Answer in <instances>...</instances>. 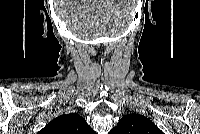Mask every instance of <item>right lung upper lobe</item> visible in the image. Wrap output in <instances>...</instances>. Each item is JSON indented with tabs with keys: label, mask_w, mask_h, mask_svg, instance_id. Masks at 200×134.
Segmentation results:
<instances>
[{
	"label": "right lung upper lobe",
	"mask_w": 200,
	"mask_h": 134,
	"mask_svg": "<svg viewBox=\"0 0 200 134\" xmlns=\"http://www.w3.org/2000/svg\"><path fill=\"white\" fill-rule=\"evenodd\" d=\"M42 134H92L94 131L77 113L62 115L49 124L41 131Z\"/></svg>",
	"instance_id": "1"
}]
</instances>
